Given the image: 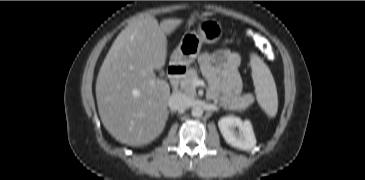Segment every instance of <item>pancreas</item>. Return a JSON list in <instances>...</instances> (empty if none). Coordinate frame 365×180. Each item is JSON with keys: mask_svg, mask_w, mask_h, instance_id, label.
Returning a JSON list of instances; mask_svg holds the SVG:
<instances>
[{"mask_svg": "<svg viewBox=\"0 0 365 180\" xmlns=\"http://www.w3.org/2000/svg\"><path fill=\"white\" fill-rule=\"evenodd\" d=\"M198 78L197 71L193 68L187 70L184 78L181 80V89L188 94L190 97L196 96V88L193 85L194 79ZM251 103V98L249 95L234 96L222 103L225 108L232 110L242 111L245 110Z\"/></svg>", "mask_w": 365, "mask_h": 180, "instance_id": "1", "label": "pancreas"}]
</instances>
